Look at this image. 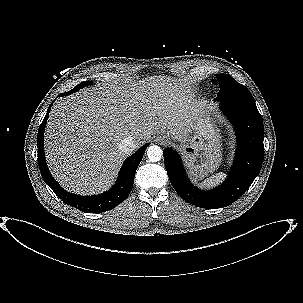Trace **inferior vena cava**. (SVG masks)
Masks as SVG:
<instances>
[{"label":"inferior vena cava","instance_id":"602c4592","mask_svg":"<svg viewBox=\"0 0 303 303\" xmlns=\"http://www.w3.org/2000/svg\"><path fill=\"white\" fill-rule=\"evenodd\" d=\"M119 150L124 154H129L135 150L134 138L132 136L124 138L119 144Z\"/></svg>","mask_w":303,"mask_h":303}]
</instances>
